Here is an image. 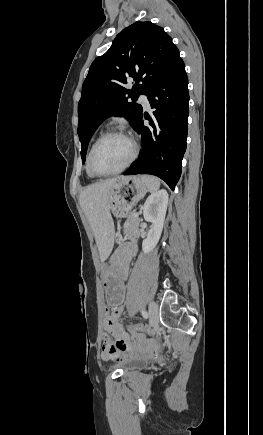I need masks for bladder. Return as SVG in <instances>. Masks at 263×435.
<instances>
[{
  "label": "bladder",
  "mask_w": 263,
  "mask_h": 435,
  "mask_svg": "<svg viewBox=\"0 0 263 435\" xmlns=\"http://www.w3.org/2000/svg\"><path fill=\"white\" fill-rule=\"evenodd\" d=\"M146 363V359L138 356H130L121 362L122 367L125 370H132L143 366Z\"/></svg>",
  "instance_id": "obj_1"
}]
</instances>
